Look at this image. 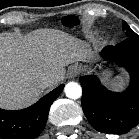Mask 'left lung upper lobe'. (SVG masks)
I'll use <instances>...</instances> for the list:
<instances>
[{
  "mask_svg": "<svg viewBox=\"0 0 139 139\" xmlns=\"http://www.w3.org/2000/svg\"><path fill=\"white\" fill-rule=\"evenodd\" d=\"M122 26H123V30L126 32L127 37L137 35L133 30H131V28L129 27V25L125 21L122 22Z\"/></svg>",
  "mask_w": 139,
  "mask_h": 139,
  "instance_id": "left-lung-upper-lobe-1",
  "label": "left lung upper lobe"
}]
</instances>
